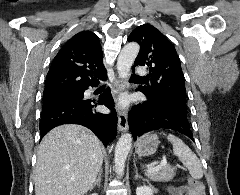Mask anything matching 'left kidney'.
Instances as JSON below:
<instances>
[{"mask_svg":"<svg viewBox=\"0 0 240 195\" xmlns=\"http://www.w3.org/2000/svg\"><path fill=\"white\" fill-rule=\"evenodd\" d=\"M136 195H153V187L139 185V187H136Z\"/></svg>","mask_w":240,"mask_h":195,"instance_id":"left-kidney-1","label":"left kidney"}]
</instances>
